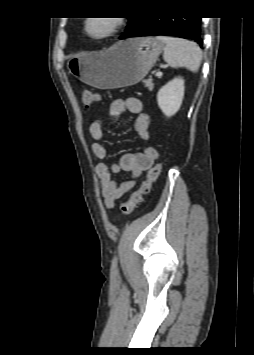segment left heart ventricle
<instances>
[{"label": "left heart ventricle", "instance_id": "left-heart-ventricle-1", "mask_svg": "<svg viewBox=\"0 0 254 355\" xmlns=\"http://www.w3.org/2000/svg\"><path fill=\"white\" fill-rule=\"evenodd\" d=\"M109 28V24L101 19L93 20L89 25V30L94 35H101Z\"/></svg>", "mask_w": 254, "mask_h": 355}]
</instances>
